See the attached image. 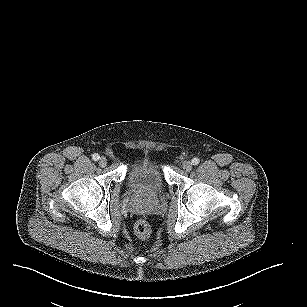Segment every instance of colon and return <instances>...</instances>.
I'll return each instance as SVG.
<instances>
[{"instance_id":"obj_1","label":"colon","mask_w":307,"mask_h":307,"mask_svg":"<svg viewBox=\"0 0 307 307\" xmlns=\"http://www.w3.org/2000/svg\"><path fill=\"white\" fill-rule=\"evenodd\" d=\"M151 225L146 219H138L134 224V233L141 240H147L151 236Z\"/></svg>"}]
</instances>
